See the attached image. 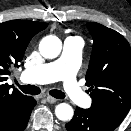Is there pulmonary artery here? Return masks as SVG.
I'll return each instance as SVG.
<instances>
[{
	"label": "pulmonary artery",
	"mask_w": 131,
	"mask_h": 131,
	"mask_svg": "<svg viewBox=\"0 0 131 131\" xmlns=\"http://www.w3.org/2000/svg\"><path fill=\"white\" fill-rule=\"evenodd\" d=\"M82 48L83 43L79 38H67L58 59L23 71L21 80L31 84L51 83L61 80L64 93L73 103L80 106L90 105V97L83 92L75 78L80 65Z\"/></svg>",
	"instance_id": "obj_1"
}]
</instances>
